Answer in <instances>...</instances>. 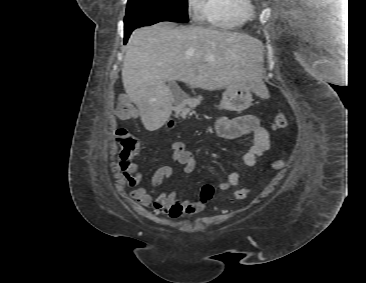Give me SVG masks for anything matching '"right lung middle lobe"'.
Masks as SVG:
<instances>
[{"mask_svg":"<svg viewBox=\"0 0 366 283\" xmlns=\"http://www.w3.org/2000/svg\"><path fill=\"white\" fill-rule=\"evenodd\" d=\"M187 0H128L124 28L135 29L161 21L188 22Z\"/></svg>","mask_w":366,"mask_h":283,"instance_id":"dd1d6c3e","label":"right lung middle lobe"}]
</instances>
